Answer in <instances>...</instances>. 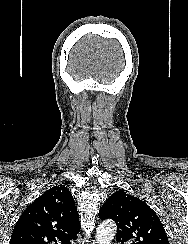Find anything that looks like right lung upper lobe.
I'll return each mask as SVG.
<instances>
[{
  "instance_id": "1",
  "label": "right lung upper lobe",
  "mask_w": 188,
  "mask_h": 244,
  "mask_svg": "<svg viewBox=\"0 0 188 244\" xmlns=\"http://www.w3.org/2000/svg\"><path fill=\"white\" fill-rule=\"evenodd\" d=\"M80 228L71 192L64 186H55L22 213L10 244H70Z\"/></svg>"
}]
</instances>
